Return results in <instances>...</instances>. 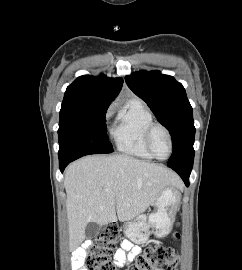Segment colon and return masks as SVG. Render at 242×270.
Returning a JSON list of instances; mask_svg holds the SVG:
<instances>
[{
	"instance_id": "colon-1",
	"label": "colon",
	"mask_w": 242,
	"mask_h": 270,
	"mask_svg": "<svg viewBox=\"0 0 242 270\" xmlns=\"http://www.w3.org/2000/svg\"><path fill=\"white\" fill-rule=\"evenodd\" d=\"M179 238V234L175 233ZM121 239L120 228L108 225L96 236L88 248L84 266L87 270H117L112 261V254ZM157 266H166L167 270H178L179 256L174 250L164 245L148 246L135 256L134 262L127 270H153Z\"/></svg>"
}]
</instances>
